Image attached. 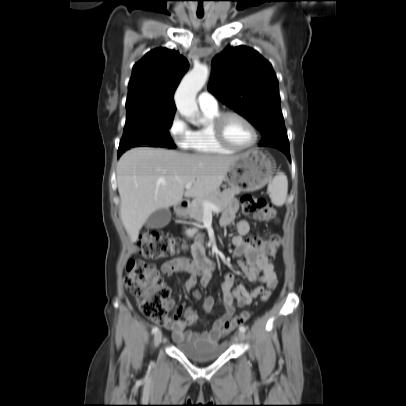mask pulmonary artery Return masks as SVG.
I'll use <instances>...</instances> for the list:
<instances>
[{
	"instance_id": "e3ab8cb5",
	"label": "pulmonary artery",
	"mask_w": 406,
	"mask_h": 406,
	"mask_svg": "<svg viewBox=\"0 0 406 406\" xmlns=\"http://www.w3.org/2000/svg\"><path fill=\"white\" fill-rule=\"evenodd\" d=\"M197 101L201 109H215L218 107L217 99L207 90L198 95Z\"/></svg>"
}]
</instances>
